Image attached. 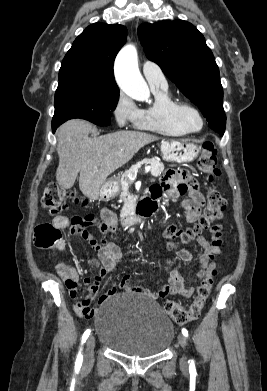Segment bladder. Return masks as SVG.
Wrapping results in <instances>:
<instances>
[{
  "label": "bladder",
  "mask_w": 267,
  "mask_h": 391,
  "mask_svg": "<svg viewBox=\"0 0 267 391\" xmlns=\"http://www.w3.org/2000/svg\"><path fill=\"white\" fill-rule=\"evenodd\" d=\"M95 327L100 342L118 353L150 357L164 352L174 325L161 307L134 293H119L98 309Z\"/></svg>",
  "instance_id": "31cf9c89"
}]
</instances>
